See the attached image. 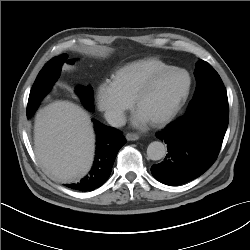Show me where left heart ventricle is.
I'll list each match as a JSON object with an SVG mask.
<instances>
[{
    "instance_id": "b2bd125f",
    "label": "left heart ventricle",
    "mask_w": 250,
    "mask_h": 250,
    "mask_svg": "<svg viewBox=\"0 0 250 250\" xmlns=\"http://www.w3.org/2000/svg\"><path fill=\"white\" fill-rule=\"evenodd\" d=\"M186 86L187 76L183 72H172L164 76L140 102L137 111L149 122L160 118L175 105Z\"/></svg>"
}]
</instances>
